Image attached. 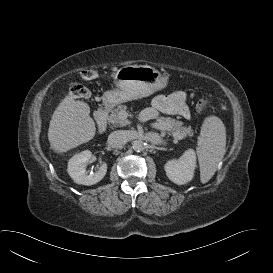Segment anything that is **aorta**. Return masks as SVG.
Listing matches in <instances>:
<instances>
[{
    "instance_id": "1",
    "label": "aorta",
    "mask_w": 273,
    "mask_h": 273,
    "mask_svg": "<svg viewBox=\"0 0 273 273\" xmlns=\"http://www.w3.org/2000/svg\"><path fill=\"white\" fill-rule=\"evenodd\" d=\"M132 148L136 152H141L145 149V143L142 140H135L132 144Z\"/></svg>"
}]
</instances>
